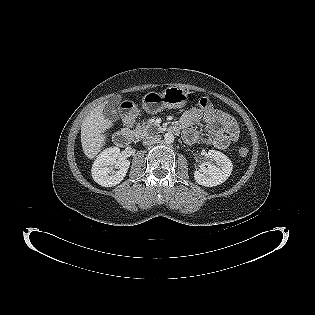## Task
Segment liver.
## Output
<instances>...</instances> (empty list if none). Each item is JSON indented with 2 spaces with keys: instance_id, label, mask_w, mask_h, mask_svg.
<instances>
[{
  "instance_id": "6515ba94",
  "label": "liver",
  "mask_w": 315,
  "mask_h": 315,
  "mask_svg": "<svg viewBox=\"0 0 315 315\" xmlns=\"http://www.w3.org/2000/svg\"><path fill=\"white\" fill-rule=\"evenodd\" d=\"M107 103L93 108L81 125V144L84 154L89 159H94L101 151L106 141V131L113 126L107 119L103 110Z\"/></svg>"
}]
</instances>
